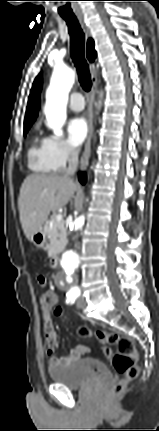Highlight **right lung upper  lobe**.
Returning <instances> with one entry per match:
<instances>
[{"mask_svg": "<svg viewBox=\"0 0 159 431\" xmlns=\"http://www.w3.org/2000/svg\"><path fill=\"white\" fill-rule=\"evenodd\" d=\"M87 57L89 61H94L96 57V52L94 50V43L92 39L88 40L87 43ZM42 87V75L39 74L36 79L34 80V83L32 85V89L30 91V96L28 99V106L26 109V115L24 120V126H31L32 123L35 121L37 115H38V109L40 105V91Z\"/></svg>", "mask_w": 159, "mask_h": 431, "instance_id": "cb5924a9", "label": "right lung upper lobe"}]
</instances>
